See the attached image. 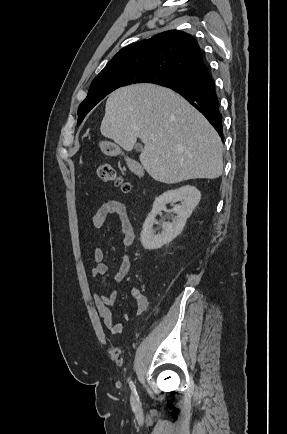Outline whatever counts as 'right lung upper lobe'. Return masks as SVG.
I'll use <instances>...</instances> for the list:
<instances>
[{
	"instance_id": "cb5924a9",
	"label": "right lung upper lobe",
	"mask_w": 287,
	"mask_h": 434,
	"mask_svg": "<svg viewBox=\"0 0 287 434\" xmlns=\"http://www.w3.org/2000/svg\"><path fill=\"white\" fill-rule=\"evenodd\" d=\"M203 62L200 47L192 35L170 30L122 48L94 80L151 70L182 75Z\"/></svg>"
}]
</instances>
